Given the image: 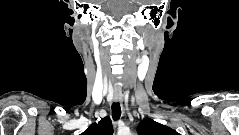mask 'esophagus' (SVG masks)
Here are the masks:
<instances>
[{
    "mask_svg": "<svg viewBox=\"0 0 239 135\" xmlns=\"http://www.w3.org/2000/svg\"><path fill=\"white\" fill-rule=\"evenodd\" d=\"M114 100H115L116 102L122 103V101H123L122 95L119 94V93H115V94H114Z\"/></svg>",
    "mask_w": 239,
    "mask_h": 135,
    "instance_id": "obj_1",
    "label": "esophagus"
}]
</instances>
